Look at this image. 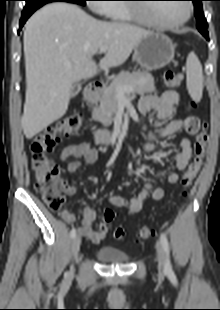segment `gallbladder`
<instances>
[{"mask_svg":"<svg viewBox=\"0 0 220 310\" xmlns=\"http://www.w3.org/2000/svg\"><path fill=\"white\" fill-rule=\"evenodd\" d=\"M80 90H81V84L80 83L74 84L72 87L71 97H75Z\"/></svg>","mask_w":220,"mask_h":310,"instance_id":"gallbladder-1","label":"gallbladder"}]
</instances>
